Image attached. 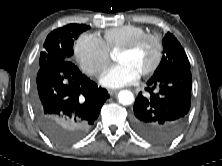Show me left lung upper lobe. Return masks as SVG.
Listing matches in <instances>:
<instances>
[{
    "label": "left lung upper lobe",
    "mask_w": 222,
    "mask_h": 166,
    "mask_svg": "<svg viewBox=\"0 0 222 166\" xmlns=\"http://www.w3.org/2000/svg\"><path fill=\"white\" fill-rule=\"evenodd\" d=\"M163 57L154 76L162 75L175 70H190V63L187 55L178 40L167 33L162 40Z\"/></svg>",
    "instance_id": "left-lung-upper-lobe-1"
}]
</instances>
